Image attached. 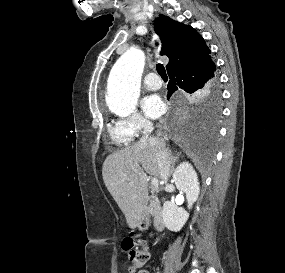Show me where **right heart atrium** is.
Wrapping results in <instances>:
<instances>
[{"instance_id":"1","label":"right heart atrium","mask_w":285,"mask_h":273,"mask_svg":"<svg viewBox=\"0 0 285 273\" xmlns=\"http://www.w3.org/2000/svg\"><path fill=\"white\" fill-rule=\"evenodd\" d=\"M117 124L123 132L132 138L147 133L152 127V123L139 113L121 118Z\"/></svg>"}]
</instances>
